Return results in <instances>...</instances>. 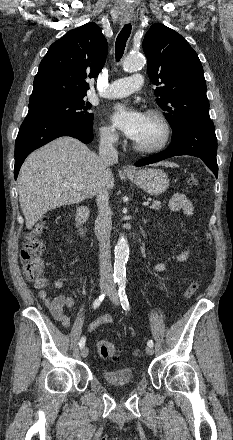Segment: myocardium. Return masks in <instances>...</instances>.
Returning <instances> with one entry per match:
<instances>
[{
  "label": "myocardium",
  "mask_w": 233,
  "mask_h": 440,
  "mask_svg": "<svg viewBox=\"0 0 233 440\" xmlns=\"http://www.w3.org/2000/svg\"><path fill=\"white\" fill-rule=\"evenodd\" d=\"M146 116L155 120L162 128L163 134L160 141L154 145H143L136 141L133 147L136 151L144 154H154L162 151L169 143L172 135V129L167 118L158 110H148Z\"/></svg>",
  "instance_id": "obj_1"
}]
</instances>
